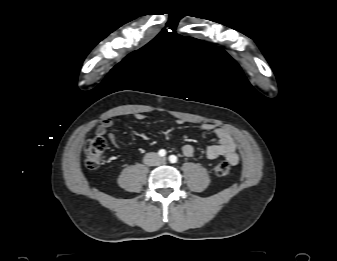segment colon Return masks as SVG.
Here are the masks:
<instances>
[{
	"instance_id": "obj_1",
	"label": "colon",
	"mask_w": 337,
	"mask_h": 261,
	"mask_svg": "<svg viewBox=\"0 0 337 261\" xmlns=\"http://www.w3.org/2000/svg\"><path fill=\"white\" fill-rule=\"evenodd\" d=\"M106 154V141L103 137H95L89 140L84 149L85 163L89 169H97ZM230 164L227 161L218 162L214 166V172L219 177L227 176L230 173Z\"/></svg>"
}]
</instances>
